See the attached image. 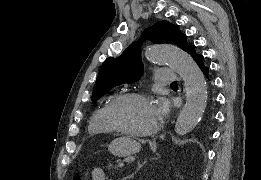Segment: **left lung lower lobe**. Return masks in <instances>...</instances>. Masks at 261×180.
<instances>
[{"instance_id": "1", "label": "left lung lower lobe", "mask_w": 261, "mask_h": 180, "mask_svg": "<svg viewBox=\"0 0 261 180\" xmlns=\"http://www.w3.org/2000/svg\"><path fill=\"white\" fill-rule=\"evenodd\" d=\"M188 53L194 58L196 63L199 65L205 76L208 78L209 68L206 67L203 63V55H198L195 51V46L192 45L188 50Z\"/></svg>"}]
</instances>
